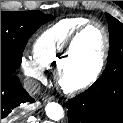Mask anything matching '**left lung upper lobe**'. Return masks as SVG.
I'll list each match as a JSON object with an SVG mask.
<instances>
[{
  "label": "left lung upper lobe",
  "mask_w": 123,
  "mask_h": 123,
  "mask_svg": "<svg viewBox=\"0 0 123 123\" xmlns=\"http://www.w3.org/2000/svg\"><path fill=\"white\" fill-rule=\"evenodd\" d=\"M109 24L110 49L107 66L99 81L108 84L123 76V24L116 18L106 14Z\"/></svg>",
  "instance_id": "left-lung-upper-lobe-1"
}]
</instances>
